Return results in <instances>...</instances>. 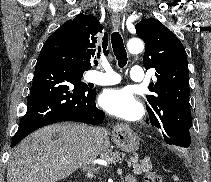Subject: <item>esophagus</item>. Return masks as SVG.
<instances>
[{
  "label": "esophagus",
  "instance_id": "obj_1",
  "mask_svg": "<svg viewBox=\"0 0 211 182\" xmlns=\"http://www.w3.org/2000/svg\"><path fill=\"white\" fill-rule=\"evenodd\" d=\"M111 22H112V25H113L114 28H118L119 27V25H120V15H119L118 12H114L112 14ZM124 129H125V127L122 126V125H119V124L116 125L115 128H114L115 131H122Z\"/></svg>",
  "mask_w": 211,
  "mask_h": 182
}]
</instances>
